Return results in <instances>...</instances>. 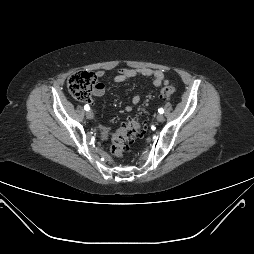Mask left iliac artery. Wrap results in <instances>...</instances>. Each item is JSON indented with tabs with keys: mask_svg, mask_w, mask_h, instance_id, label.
I'll return each mask as SVG.
<instances>
[{
	"mask_svg": "<svg viewBox=\"0 0 254 254\" xmlns=\"http://www.w3.org/2000/svg\"><path fill=\"white\" fill-rule=\"evenodd\" d=\"M158 112H159L160 114H163V113H164V109H163V108H160V109H158Z\"/></svg>",
	"mask_w": 254,
	"mask_h": 254,
	"instance_id": "left-iliac-artery-1",
	"label": "left iliac artery"
}]
</instances>
